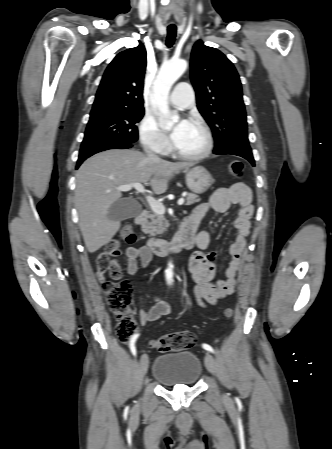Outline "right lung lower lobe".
Listing matches in <instances>:
<instances>
[{"label": "right lung lower lobe", "instance_id": "98d812e1", "mask_svg": "<svg viewBox=\"0 0 332 449\" xmlns=\"http://www.w3.org/2000/svg\"><path fill=\"white\" fill-rule=\"evenodd\" d=\"M130 147H132V143L122 141H107L81 148L76 168H78L86 158L92 156L95 153L108 149H127Z\"/></svg>", "mask_w": 332, "mask_h": 449}]
</instances>
